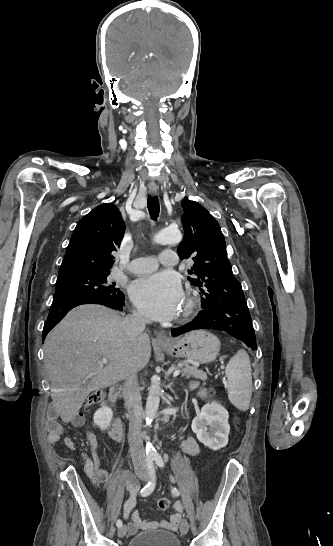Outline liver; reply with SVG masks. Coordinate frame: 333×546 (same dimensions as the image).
Returning a JSON list of instances; mask_svg holds the SVG:
<instances>
[{"label":"liver","instance_id":"liver-1","mask_svg":"<svg viewBox=\"0 0 333 546\" xmlns=\"http://www.w3.org/2000/svg\"><path fill=\"white\" fill-rule=\"evenodd\" d=\"M150 356L148 335L128 338L117 312L99 305L72 309L44 343V363L56 412L64 423L72 421L90 392L142 370ZM101 358L109 363L101 365Z\"/></svg>","mask_w":333,"mask_h":546}]
</instances>
